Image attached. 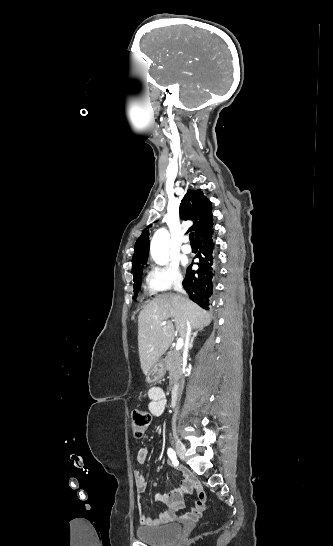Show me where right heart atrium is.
I'll list each match as a JSON object with an SVG mask.
<instances>
[{"instance_id":"d8ad5b80","label":"right heart atrium","mask_w":333,"mask_h":546,"mask_svg":"<svg viewBox=\"0 0 333 546\" xmlns=\"http://www.w3.org/2000/svg\"><path fill=\"white\" fill-rule=\"evenodd\" d=\"M146 284L151 294L176 290L182 286L183 276L176 263L154 265L148 272Z\"/></svg>"}]
</instances>
